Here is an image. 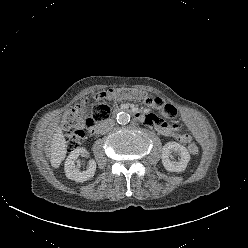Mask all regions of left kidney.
Listing matches in <instances>:
<instances>
[{"label":"left kidney","mask_w":248,"mask_h":248,"mask_svg":"<svg viewBox=\"0 0 248 248\" xmlns=\"http://www.w3.org/2000/svg\"><path fill=\"white\" fill-rule=\"evenodd\" d=\"M172 152H177L180 155L178 161H173ZM162 164L167 171L182 172L186 169L190 161V154L188 150L177 142H168L162 148Z\"/></svg>","instance_id":"obj_1"}]
</instances>
